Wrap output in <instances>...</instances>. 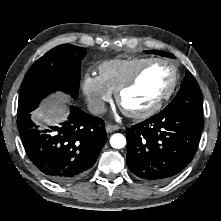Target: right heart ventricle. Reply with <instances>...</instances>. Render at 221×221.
<instances>
[{
	"mask_svg": "<svg viewBox=\"0 0 221 221\" xmlns=\"http://www.w3.org/2000/svg\"><path fill=\"white\" fill-rule=\"evenodd\" d=\"M150 58L111 59L99 65V77L111 92H116L142 64Z\"/></svg>",
	"mask_w": 221,
	"mask_h": 221,
	"instance_id": "e07e8e85",
	"label": "right heart ventricle"
}]
</instances>
